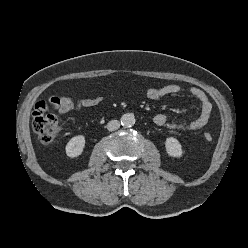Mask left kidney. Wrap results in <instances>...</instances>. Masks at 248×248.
<instances>
[{"label":"left kidney","mask_w":248,"mask_h":248,"mask_svg":"<svg viewBox=\"0 0 248 248\" xmlns=\"http://www.w3.org/2000/svg\"><path fill=\"white\" fill-rule=\"evenodd\" d=\"M166 152L172 157H181L184 153L181 144L176 138L169 137L165 141Z\"/></svg>","instance_id":"5707ae66"}]
</instances>
